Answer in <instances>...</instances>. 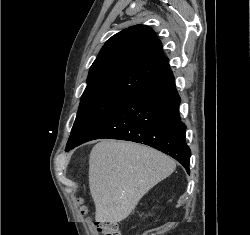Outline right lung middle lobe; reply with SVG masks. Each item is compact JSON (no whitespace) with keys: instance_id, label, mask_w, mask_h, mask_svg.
I'll list each match as a JSON object with an SVG mask.
<instances>
[{"instance_id":"obj_1","label":"right lung middle lobe","mask_w":250,"mask_h":235,"mask_svg":"<svg viewBox=\"0 0 250 235\" xmlns=\"http://www.w3.org/2000/svg\"><path fill=\"white\" fill-rule=\"evenodd\" d=\"M132 95L98 94L82 98L67 146L76 143L91 128L116 111Z\"/></svg>"}]
</instances>
